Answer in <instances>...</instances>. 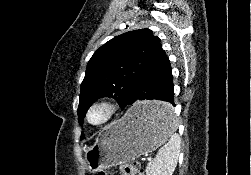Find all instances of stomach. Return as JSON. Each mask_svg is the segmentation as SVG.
Instances as JSON below:
<instances>
[{
    "mask_svg": "<svg viewBox=\"0 0 251 175\" xmlns=\"http://www.w3.org/2000/svg\"><path fill=\"white\" fill-rule=\"evenodd\" d=\"M167 100H138L116 119L103 127L95 143L85 147L88 171L96 173L112 165L132 161L143 153L153 151L167 141V134H177L173 114H157V111H172Z\"/></svg>",
    "mask_w": 251,
    "mask_h": 175,
    "instance_id": "1",
    "label": "stomach"
}]
</instances>
